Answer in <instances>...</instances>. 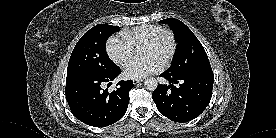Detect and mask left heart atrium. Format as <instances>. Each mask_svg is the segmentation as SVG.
Wrapping results in <instances>:
<instances>
[{
  "instance_id": "1",
  "label": "left heart atrium",
  "mask_w": 276,
  "mask_h": 138,
  "mask_svg": "<svg viewBox=\"0 0 276 138\" xmlns=\"http://www.w3.org/2000/svg\"><path fill=\"white\" fill-rule=\"evenodd\" d=\"M162 63L154 58L148 57L143 60H131L124 68V74L128 78H143L153 73L159 72Z\"/></svg>"
}]
</instances>
